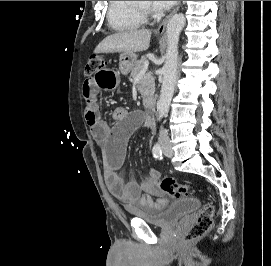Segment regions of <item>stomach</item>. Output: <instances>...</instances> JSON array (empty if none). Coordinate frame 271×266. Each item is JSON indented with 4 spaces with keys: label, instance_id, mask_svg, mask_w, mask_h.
I'll use <instances>...</instances> for the list:
<instances>
[{
    "label": "stomach",
    "instance_id": "1",
    "mask_svg": "<svg viewBox=\"0 0 271 266\" xmlns=\"http://www.w3.org/2000/svg\"><path fill=\"white\" fill-rule=\"evenodd\" d=\"M137 55L135 53L123 52L119 58V69L124 75L128 74L136 63Z\"/></svg>",
    "mask_w": 271,
    "mask_h": 266
}]
</instances>
